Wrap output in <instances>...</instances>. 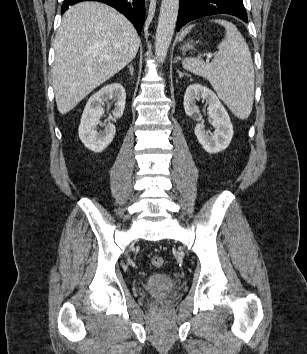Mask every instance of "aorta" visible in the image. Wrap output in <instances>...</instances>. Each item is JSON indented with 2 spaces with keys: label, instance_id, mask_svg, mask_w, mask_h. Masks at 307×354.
I'll use <instances>...</instances> for the list:
<instances>
[{
  "label": "aorta",
  "instance_id": "obj_1",
  "mask_svg": "<svg viewBox=\"0 0 307 354\" xmlns=\"http://www.w3.org/2000/svg\"><path fill=\"white\" fill-rule=\"evenodd\" d=\"M179 10V0H162L155 41V56L162 63L174 34Z\"/></svg>",
  "mask_w": 307,
  "mask_h": 354
}]
</instances>
